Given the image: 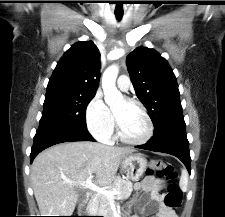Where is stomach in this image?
I'll return each mask as SVG.
<instances>
[{
	"instance_id": "1",
	"label": "stomach",
	"mask_w": 225,
	"mask_h": 217,
	"mask_svg": "<svg viewBox=\"0 0 225 217\" xmlns=\"http://www.w3.org/2000/svg\"><path fill=\"white\" fill-rule=\"evenodd\" d=\"M121 167L128 178L137 181L147 168V159L140 153L130 154L122 160Z\"/></svg>"
}]
</instances>
